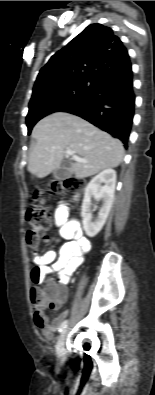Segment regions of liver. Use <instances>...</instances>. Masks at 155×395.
<instances>
[{
    "mask_svg": "<svg viewBox=\"0 0 155 395\" xmlns=\"http://www.w3.org/2000/svg\"><path fill=\"white\" fill-rule=\"evenodd\" d=\"M32 137L36 145L30 154L28 171L38 178L59 169L68 150L86 161L71 163L70 171L77 178L116 168L124 157L120 140L65 112H56L40 120L33 128Z\"/></svg>",
    "mask_w": 155,
    "mask_h": 395,
    "instance_id": "6515ba94",
    "label": "liver"
}]
</instances>
